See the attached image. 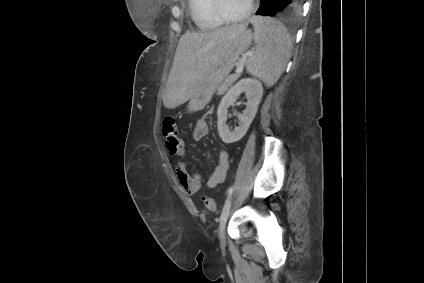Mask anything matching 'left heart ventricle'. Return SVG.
Wrapping results in <instances>:
<instances>
[{"label":"left heart ventricle","instance_id":"b2bd125f","mask_svg":"<svg viewBox=\"0 0 424 283\" xmlns=\"http://www.w3.org/2000/svg\"><path fill=\"white\" fill-rule=\"evenodd\" d=\"M250 0H223L225 11L231 16L244 13L249 7Z\"/></svg>","mask_w":424,"mask_h":283}]
</instances>
